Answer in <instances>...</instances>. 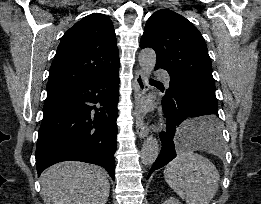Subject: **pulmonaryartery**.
<instances>
[{"instance_id":"obj_1","label":"pulmonary artery","mask_w":261,"mask_h":204,"mask_svg":"<svg viewBox=\"0 0 261 204\" xmlns=\"http://www.w3.org/2000/svg\"><path fill=\"white\" fill-rule=\"evenodd\" d=\"M155 76L162 79L167 85L170 84V76L167 72L163 70H157L155 72Z\"/></svg>"}]
</instances>
